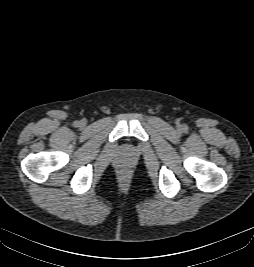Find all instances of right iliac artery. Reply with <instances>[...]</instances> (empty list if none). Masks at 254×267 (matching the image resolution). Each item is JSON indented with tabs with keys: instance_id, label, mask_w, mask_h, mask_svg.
Instances as JSON below:
<instances>
[{
	"instance_id": "1",
	"label": "right iliac artery",
	"mask_w": 254,
	"mask_h": 267,
	"mask_svg": "<svg viewBox=\"0 0 254 267\" xmlns=\"http://www.w3.org/2000/svg\"><path fill=\"white\" fill-rule=\"evenodd\" d=\"M79 124H80V122H78V121H75V122H74V125H75L76 127H78Z\"/></svg>"
}]
</instances>
